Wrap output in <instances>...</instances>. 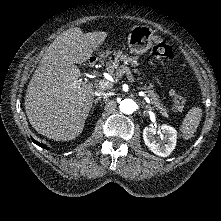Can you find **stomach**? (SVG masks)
I'll return each instance as SVG.
<instances>
[{"instance_id": "0dacf381", "label": "stomach", "mask_w": 221, "mask_h": 221, "mask_svg": "<svg viewBox=\"0 0 221 221\" xmlns=\"http://www.w3.org/2000/svg\"><path fill=\"white\" fill-rule=\"evenodd\" d=\"M154 31L147 25L135 26L128 35V47L131 54L141 55L146 53L152 45Z\"/></svg>"}]
</instances>
